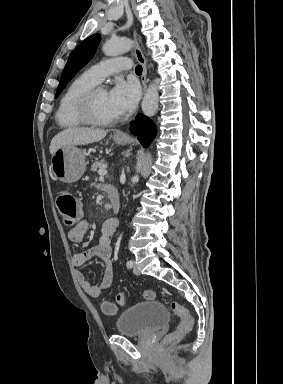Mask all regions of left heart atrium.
I'll return each mask as SVG.
<instances>
[{"instance_id": "39dd6f15", "label": "left heart atrium", "mask_w": 283, "mask_h": 384, "mask_svg": "<svg viewBox=\"0 0 283 384\" xmlns=\"http://www.w3.org/2000/svg\"><path fill=\"white\" fill-rule=\"evenodd\" d=\"M108 97L114 112L121 116L133 110L139 97V90L135 84L119 80L108 91Z\"/></svg>"}]
</instances>
